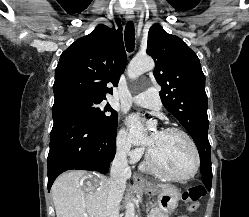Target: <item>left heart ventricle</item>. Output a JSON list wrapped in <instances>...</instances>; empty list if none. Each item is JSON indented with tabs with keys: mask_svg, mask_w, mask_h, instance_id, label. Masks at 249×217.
Listing matches in <instances>:
<instances>
[{
	"mask_svg": "<svg viewBox=\"0 0 249 217\" xmlns=\"http://www.w3.org/2000/svg\"><path fill=\"white\" fill-rule=\"evenodd\" d=\"M151 150L156 162L173 175H186L194 166V154L189 142L178 133L155 132Z\"/></svg>",
	"mask_w": 249,
	"mask_h": 217,
	"instance_id": "left-heart-ventricle-1",
	"label": "left heart ventricle"
}]
</instances>
